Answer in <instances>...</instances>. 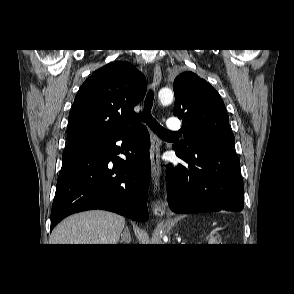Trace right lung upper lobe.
I'll use <instances>...</instances> for the list:
<instances>
[{
	"mask_svg": "<svg viewBox=\"0 0 294 294\" xmlns=\"http://www.w3.org/2000/svg\"><path fill=\"white\" fill-rule=\"evenodd\" d=\"M142 73L128 62L96 70L80 87L68 120V145L121 131L132 125L133 111L144 97Z\"/></svg>",
	"mask_w": 294,
	"mask_h": 294,
	"instance_id": "obj_1",
	"label": "right lung upper lobe"
}]
</instances>
